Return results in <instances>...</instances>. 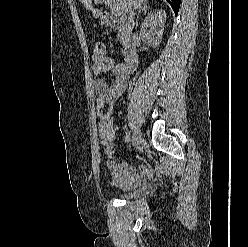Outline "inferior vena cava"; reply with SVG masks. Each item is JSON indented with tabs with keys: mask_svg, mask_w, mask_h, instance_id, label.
<instances>
[{
	"mask_svg": "<svg viewBox=\"0 0 248 247\" xmlns=\"http://www.w3.org/2000/svg\"><path fill=\"white\" fill-rule=\"evenodd\" d=\"M127 13L129 14L128 20H129L131 23H133V22H134V11H133V8H132V7H129Z\"/></svg>",
	"mask_w": 248,
	"mask_h": 247,
	"instance_id": "1",
	"label": "inferior vena cava"
}]
</instances>
